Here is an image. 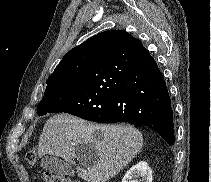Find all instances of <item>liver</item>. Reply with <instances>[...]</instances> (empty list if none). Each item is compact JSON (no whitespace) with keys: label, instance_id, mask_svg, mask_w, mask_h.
<instances>
[{"label":"liver","instance_id":"liver-1","mask_svg":"<svg viewBox=\"0 0 211 182\" xmlns=\"http://www.w3.org/2000/svg\"><path fill=\"white\" fill-rule=\"evenodd\" d=\"M102 133V139L95 132ZM88 144L97 157L76 165L75 148ZM143 146L142 133L131 125H97L73 115L62 113L48 119L38 145L40 157L49 154L76 165L78 177L87 182H106L117 175L137 155Z\"/></svg>","mask_w":211,"mask_h":182}]
</instances>
